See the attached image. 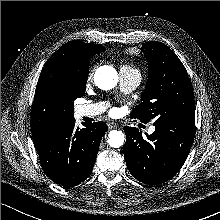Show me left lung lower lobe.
Listing matches in <instances>:
<instances>
[{"label": "left lung lower lobe", "instance_id": "obj_1", "mask_svg": "<svg viewBox=\"0 0 220 220\" xmlns=\"http://www.w3.org/2000/svg\"><path fill=\"white\" fill-rule=\"evenodd\" d=\"M143 138L138 129L125 126L124 156L130 173L148 185L170 180L183 166L195 136V124L177 119L155 124Z\"/></svg>", "mask_w": 220, "mask_h": 220}]
</instances>
